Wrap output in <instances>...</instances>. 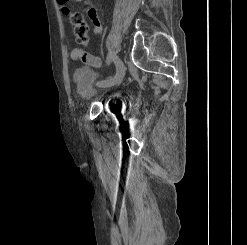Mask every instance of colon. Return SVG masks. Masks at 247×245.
<instances>
[{
	"label": "colon",
	"mask_w": 247,
	"mask_h": 245,
	"mask_svg": "<svg viewBox=\"0 0 247 245\" xmlns=\"http://www.w3.org/2000/svg\"><path fill=\"white\" fill-rule=\"evenodd\" d=\"M70 23L73 25L74 34L79 43L83 45L89 44L88 37V25L85 21V18L80 12H71L69 14Z\"/></svg>",
	"instance_id": "1"
}]
</instances>
